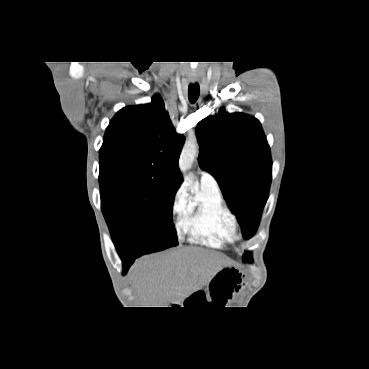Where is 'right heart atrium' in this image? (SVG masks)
Returning a JSON list of instances; mask_svg holds the SVG:
<instances>
[{"instance_id":"d8ad5b80","label":"right heart atrium","mask_w":369,"mask_h":369,"mask_svg":"<svg viewBox=\"0 0 369 369\" xmlns=\"http://www.w3.org/2000/svg\"><path fill=\"white\" fill-rule=\"evenodd\" d=\"M186 203L184 190L178 189L173 200L172 210L176 214H181Z\"/></svg>"}]
</instances>
